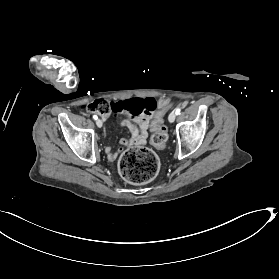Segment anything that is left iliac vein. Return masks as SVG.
Instances as JSON below:
<instances>
[{
    "label": "left iliac vein",
    "mask_w": 279,
    "mask_h": 279,
    "mask_svg": "<svg viewBox=\"0 0 279 279\" xmlns=\"http://www.w3.org/2000/svg\"><path fill=\"white\" fill-rule=\"evenodd\" d=\"M176 119V113L173 111L169 114L168 120L170 123H173Z\"/></svg>",
    "instance_id": "4c4485c4"
}]
</instances>
